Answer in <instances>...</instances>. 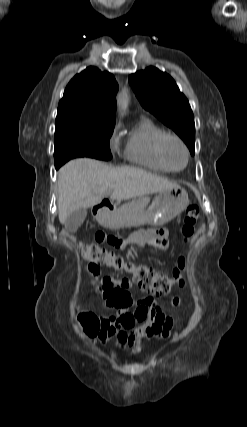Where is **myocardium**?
<instances>
[{
    "instance_id": "obj_1",
    "label": "myocardium",
    "mask_w": 247,
    "mask_h": 427,
    "mask_svg": "<svg viewBox=\"0 0 247 427\" xmlns=\"http://www.w3.org/2000/svg\"><path fill=\"white\" fill-rule=\"evenodd\" d=\"M170 141H175L177 142L182 149L184 150L185 153V163L181 168H175L173 167L166 155V146L167 143ZM157 152H158V156L160 158V160L162 161V163L172 172H179L182 171L183 169L186 168V166L188 165L189 162V158H190V153H189V149L186 145V143L182 140V138H180L178 135L173 134V133H165L158 141L157 143Z\"/></svg>"
}]
</instances>
